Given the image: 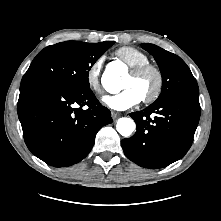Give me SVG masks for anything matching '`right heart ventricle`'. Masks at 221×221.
<instances>
[{
    "label": "right heart ventricle",
    "instance_id": "1",
    "mask_svg": "<svg viewBox=\"0 0 221 221\" xmlns=\"http://www.w3.org/2000/svg\"><path fill=\"white\" fill-rule=\"evenodd\" d=\"M114 55L129 67L149 62V56L142 50L133 46L120 47L114 52Z\"/></svg>",
    "mask_w": 221,
    "mask_h": 221
}]
</instances>
